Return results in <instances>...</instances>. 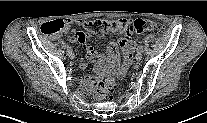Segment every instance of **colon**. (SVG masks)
<instances>
[{"label": "colon", "mask_w": 207, "mask_h": 123, "mask_svg": "<svg viewBox=\"0 0 207 123\" xmlns=\"http://www.w3.org/2000/svg\"><path fill=\"white\" fill-rule=\"evenodd\" d=\"M119 24L122 27L123 33L119 39L121 47L125 44L127 39L133 34L155 33L162 32V26L148 20H135L130 26V22L125 19L119 20ZM62 20H54L45 22L40 26V32L43 35H55L59 33L63 28ZM113 25L112 21L105 19H94L85 22L84 29L88 35H102L110 30ZM116 83L113 78H107L102 82H96L93 84V94L98 100L105 99L115 89Z\"/></svg>", "instance_id": "colon-1"}]
</instances>
